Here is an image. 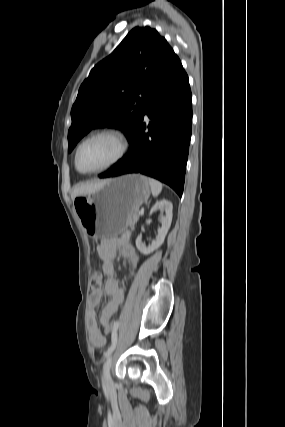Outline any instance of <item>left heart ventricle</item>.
<instances>
[{"label": "left heart ventricle", "mask_w": 285, "mask_h": 427, "mask_svg": "<svg viewBox=\"0 0 285 427\" xmlns=\"http://www.w3.org/2000/svg\"><path fill=\"white\" fill-rule=\"evenodd\" d=\"M120 149L119 141L110 135H102L88 141L80 150L79 166L84 171L99 169L111 162Z\"/></svg>", "instance_id": "b2bd125f"}]
</instances>
